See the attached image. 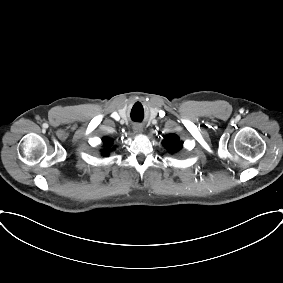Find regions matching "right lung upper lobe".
<instances>
[{
  "instance_id": "right-lung-upper-lobe-1",
  "label": "right lung upper lobe",
  "mask_w": 283,
  "mask_h": 283,
  "mask_svg": "<svg viewBox=\"0 0 283 283\" xmlns=\"http://www.w3.org/2000/svg\"><path fill=\"white\" fill-rule=\"evenodd\" d=\"M103 141H104V146L107 147V148L103 151V154H104V155H107L108 152H109V148H110V146L112 145V140L105 138Z\"/></svg>"
}]
</instances>
